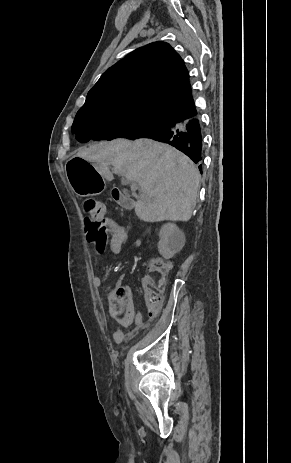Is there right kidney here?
I'll return each mask as SVG.
<instances>
[{
	"mask_svg": "<svg viewBox=\"0 0 291 463\" xmlns=\"http://www.w3.org/2000/svg\"><path fill=\"white\" fill-rule=\"evenodd\" d=\"M159 237L158 250L166 259L180 251L185 244L184 233L173 223L164 224L159 231Z\"/></svg>",
	"mask_w": 291,
	"mask_h": 463,
	"instance_id": "right-kidney-1",
	"label": "right kidney"
}]
</instances>
